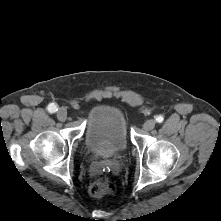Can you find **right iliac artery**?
I'll use <instances>...</instances> for the list:
<instances>
[{
  "mask_svg": "<svg viewBox=\"0 0 221 221\" xmlns=\"http://www.w3.org/2000/svg\"><path fill=\"white\" fill-rule=\"evenodd\" d=\"M57 110H58V108H57V106L55 104L52 103V104L48 105V111L50 113H55Z\"/></svg>",
  "mask_w": 221,
  "mask_h": 221,
  "instance_id": "1",
  "label": "right iliac artery"
}]
</instances>
